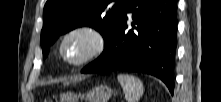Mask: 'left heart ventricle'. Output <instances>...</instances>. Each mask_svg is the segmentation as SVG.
<instances>
[{
  "label": "left heart ventricle",
  "instance_id": "left-heart-ventricle-1",
  "mask_svg": "<svg viewBox=\"0 0 221 102\" xmlns=\"http://www.w3.org/2000/svg\"><path fill=\"white\" fill-rule=\"evenodd\" d=\"M88 48V41L81 36L70 38L65 45V55L68 60H78L81 58Z\"/></svg>",
  "mask_w": 221,
  "mask_h": 102
}]
</instances>
